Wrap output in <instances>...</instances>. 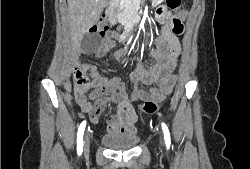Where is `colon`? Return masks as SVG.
Instances as JSON below:
<instances>
[{
  "instance_id": "5ec220e1",
  "label": "colon",
  "mask_w": 250,
  "mask_h": 169,
  "mask_svg": "<svg viewBox=\"0 0 250 169\" xmlns=\"http://www.w3.org/2000/svg\"><path fill=\"white\" fill-rule=\"evenodd\" d=\"M182 1L181 0H167L166 1V7L167 9L174 10L181 6ZM108 30V27L106 25L101 24H95L89 29V40L87 44L91 48H95L97 45V39L99 37H103L106 35ZM183 30L182 23L178 20L174 21L173 31L175 33H180ZM72 81L75 91H79L83 89L88 82V77L86 74L80 70L75 69L72 75ZM158 95H165V93H158ZM162 97H151L149 99V103H140V108H158L162 102ZM144 114H153V109H144Z\"/></svg>"
}]
</instances>
